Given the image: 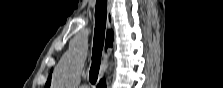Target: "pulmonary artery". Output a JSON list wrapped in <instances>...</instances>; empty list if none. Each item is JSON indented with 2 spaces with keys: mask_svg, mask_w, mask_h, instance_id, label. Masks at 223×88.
I'll return each instance as SVG.
<instances>
[{
  "mask_svg": "<svg viewBox=\"0 0 223 88\" xmlns=\"http://www.w3.org/2000/svg\"><path fill=\"white\" fill-rule=\"evenodd\" d=\"M81 88H88V86L87 85H82Z\"/></svg>",
  "mask_w": 223,
  "mask_h": 88,
  "instance_id": "obj_1",
  "label": "pulmonary artery"
}]
</instances>
